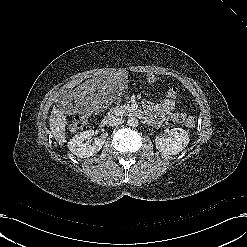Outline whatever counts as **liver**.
<instances>
[{"instance_id": "1", "label": "liver", "mask_w": 247, "mask_h": 247, "mask_svg": "<svg viewBox=\"0 0 247 247\" xmlns=\"http://www.w3.org/2000/svg\"><path fill=\"white\" fill-rule=\"evenodd\" d=\"M79 82H74L71 84L70 87H74ZM49 125L50 130L58 142L59 145H63V143L66 141L65 136V126L67 125L66 117L64 116V113L57 109V107H53L50 118H49Z\"/></svg>"}]
</instances>
